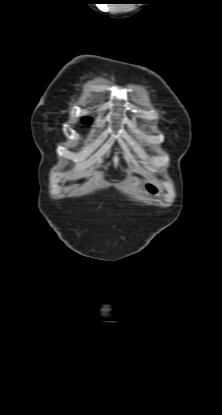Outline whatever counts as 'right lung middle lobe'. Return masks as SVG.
<instances>
[{"instance_id":"1","label":"right lung middle lobe","mask_w":222,"mask_h":415,"mask_svg":"<svg viewBox=\"0 0 222 415\" xmlns=\"http://www.w3.org/2000/svg\"><path fill=\"white\" fill-rule=\"evenodd\" d=\"M83 121H84L86 124H90V122H91V118H89V117H84V118H83Z\"/></svg>"}]
</instances>
